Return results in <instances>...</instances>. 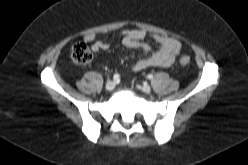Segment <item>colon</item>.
<instances>
[{"mask_svg":"<svg viewBox=\"0 0 248 165\" xmlns=\"http://www.w3.org/2000/svg\"><path fill=\"white\" fill-rule=\"evenodd\" d=\"M94 58V52L91 50L90 45L87 42H77L71 51V60L76 65L89 64ZM181 65H188L190 58L188 56H182L179 59Z\"/></svg>","mask_w":248,"mask_h":165,"instance_id":"1","label":"colon"}]
</instances>
